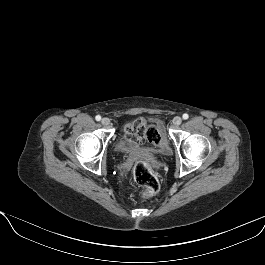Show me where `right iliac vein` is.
I'll return each instance as SVG.
<instances>
[{"mask_svg":"<svg viewBox=\"0 0 265 265\" xmlns=\"http://www.w3.org/2000/svg\"><path fill=\"white\" fill-rule=\"evenodd\" d=\"M102 125L108 126L110 124V119L105 117L101 120Z\"/></svg>","mask_w":265,"mask_h":265,"instance_id":"63e3f726","label":"right iliac vein"}]
</instances>
